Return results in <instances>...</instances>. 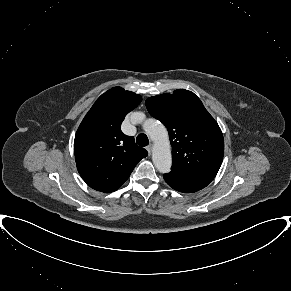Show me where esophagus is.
I'll list each match as a JSON object with an SVG mask.
<instances>
[{
	"label": "esophagus",
	"instance_id": "esophagus-1",
	"mask_svg": "<svg viewBox=\"0 0 291 291\" xmlns=\"http://www.w3.org/2000/svg\"><path fill=\"white\" fill-rule=\"evenodd\" d=\"M152 148H153V145H152V144H149V145L146 147V149H147V151H148L149 154H151V152H152Z\"/></svg>",
	"mask_w": 291,
	"mask_h": 291
}]
</instances>
